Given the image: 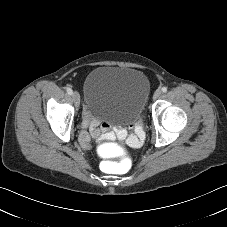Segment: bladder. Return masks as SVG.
Returning <instances> with one entry per match:
<instances>
[{
  "label": "bladder",
  "mask_w": 227,
  "mask_h": 227,
  "mask_svg": "<svg viewBox=\"0 0 227 227\" xmlns=\"http://www.w3.org/2000/svg\"><path fill=\"white\" fill-rule=\"evenodd\" d=\"M84 93L95 116L118 123L133 122L143 113L149 84L136 69L104 65L88 75Z\"/></svg>",
  "instance_id": "obj_1"
}]
</instances>
